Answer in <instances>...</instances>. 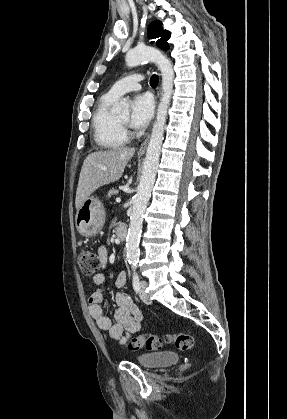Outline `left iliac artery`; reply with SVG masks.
Returning a JSON list of instances; mask_svg holds the SVG:
<instances>
[{"mask_svg": "<svg viewBox=\"0 0 287 419\" xmlns=\"http://www.w3.org/2000/svg\"><path fill=\"white\" fill-rule=\"evenodd\" d=\"M132 283H133L134 291L136 293L139 292V289H140V281H139V276H138V274H137L136 271L133 272V280H132Z\"/></svg>", "mask_w": 287, "mask_h": 419, "instance_id": "left-iliac-artery-1", "label": "left iliac artery"}]
</instances>
